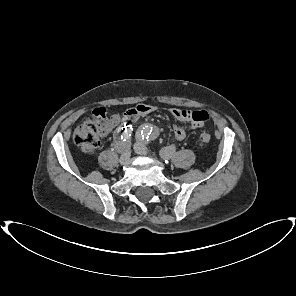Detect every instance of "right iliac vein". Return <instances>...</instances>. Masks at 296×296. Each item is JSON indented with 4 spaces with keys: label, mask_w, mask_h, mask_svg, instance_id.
I'll use <instances>...</instances> for the list:
<instances>
[{
    "label": "right iliac vein",
    "mask_w": 296,
    "mask_h": 296,
    "mask_svg": "<svg viewBox=\"0 0 296 296\" xmlns=\"http://www.w3.org/2000/svg\"><path fill=\"white\" fill-rule=\"evenodd\" d=\"M131 153L128 148L125 149L124 153L120 156L119 162L126 164L130 159Z\"/></svg>",
    "instance_id": "1"
}]
</instances>
